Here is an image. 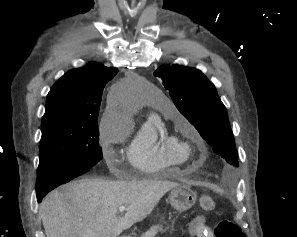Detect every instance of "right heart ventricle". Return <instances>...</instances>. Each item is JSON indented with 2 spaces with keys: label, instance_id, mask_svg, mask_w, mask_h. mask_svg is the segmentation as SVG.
Segmentation results:
<instances>
[{
  "label": "right heart ventricle",
  "instance_id": "obj_1",
  "mask_svg": "<svg viewBox=\"0 0 297 237\" xmlns=\"http://www.w3.org/2000/svg\"><path fill=\"white\" fill-rule=\"evenodd\" d=\"M162 116L173 111L159 106ZM130 164L144 174H155L178 167L188 159L180 147V141L168 134L166 124L160 115H149L139 126L127 149Z\"/></svg>",
  "mask_w": 297,
  "mask_h": 237
}]
</instances>
